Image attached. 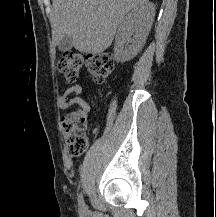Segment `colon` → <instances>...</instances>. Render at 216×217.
Masks as SVG:
<instances>
[{"instance_id":"5ec220e1","label":"colon","mask_w":216,"mask_h":217,"mask_svg":"<svg viewBox=\"0 0 216 217\" xmlns=\"http://www.w3.org/2000/svg\"><path fill=\"white\" fill-rule=\"evenodd\" d=\"M87 66L91 78L97 82H104L111 74L114 66L113 57L110 54L102 53L87 58L78 51L66 52L57 63L59 72L67 83L77 81L81 69ZM87 115L82 111H75L62 122V132L68 146L70 155L77 157L85 152L88 145L87 138Z\"/></svg>"}]
</instances>
